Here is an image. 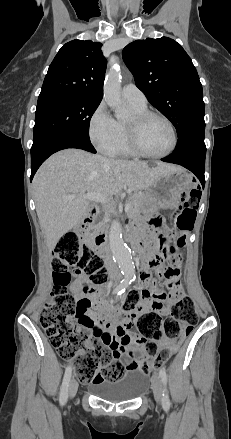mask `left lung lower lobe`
<instances>
[{"label": "left lung lower lobe", "mask_w": 231, "mask_h": 439, "mask_svg": "<svg viewBox=\"0 0 231 439\" xmlns=\"http://www.w3.org/2000/svg\"><path fill=\"white\" fill-rule=\"evenodd\" d=\"M205 123L193 124L186 127L178 136V143L174 152L162 159L164 162L179 164L191 172L205 185V156L206 146L204 143Z\"/></svg>", "instance_id": "obj_1"}]
</instances>
